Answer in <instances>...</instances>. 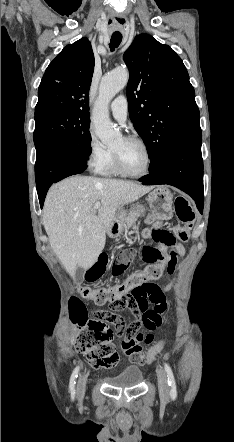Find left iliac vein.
Returning a JSON list of instances; mask_svg holds the SVG:
<instances>
[{
    "label": "left iliac vein",
    "instance_id": "1",
    "mask_svg": "<svg viewBox=\"0 0 234 442\" xmlns=\"http://www.w3.org/2000/svg\"><path fill=\"white\" fill-rule=\"evenodd\" d=\"M158 377V387L160 397L163 401H168L169 399V384L167 382L166 374L162 368L157 369Z\"/></svg>",
    "mask_w": 234,
    "mask_h": 442
}]
</instances>
